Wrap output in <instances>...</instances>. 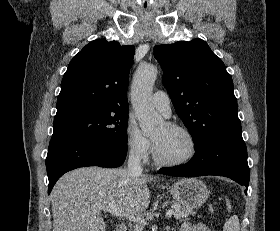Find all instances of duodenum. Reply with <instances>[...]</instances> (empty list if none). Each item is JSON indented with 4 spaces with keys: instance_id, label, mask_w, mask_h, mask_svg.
I'll return each instance as SVG.
<instances>
[{
    "instance_id": "410a0bca",
    "label": "duodenum",
    "mask_w": 280,
    "mask_h": 231,
    "mask_svg": "<svg viewBox=\"0 0 280 231\" xmlns=\"http://www.w3.org/2000/svg\"><path fill=\"white\" fill-rule=\"evenodd\" d=\"M115 231H127L126 227L119 225L115 228Z\"/></svg>"
}]
</instances>
